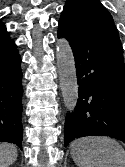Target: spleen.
Wrapping results in <instances>:
<instances>
[{
    "instance_id": "obj_1",
    "label": "spleen",
    "mask_w": 125,
    "mask_h": 167,
    "mask_svg": "<svg viewBox=\"0 0 125 167\" xmlns=\"http://www.w3.org/2000/svg\"><path fill=\"white\" fill-rule=\"evenodd\" d=\"M71 156L78 167H125V150L108 137H84L72 142Z\"/></svg>"
}]
</instances>
